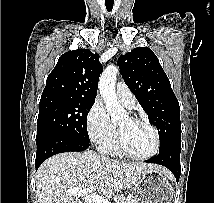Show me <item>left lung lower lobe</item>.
<instances>
[{
    "label": "left lung lower lobe",
    "mask_w": 214,
    "mask_h": 203,
    "mask_svg": "<svg viewBox=\"0 0 214 203\" xmlns=\"http://www.w3.org/2000/svg\"><path fill=\"white\" fill-rule=\"evenodd\" d=\"M180 153L181 143H176L159 151L156 157L146 160L145 162L156 163L167 167L174 174L178 182L181 174Z\"/></svg>",
    "instance_id": "1"
}]
</instances>
